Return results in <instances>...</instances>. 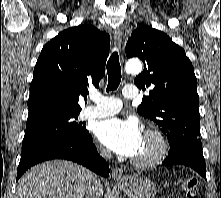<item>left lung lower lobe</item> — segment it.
Here are the masks:
<instances>
[{
  "label": "left lung lower lobe",
  "mask_w": 221,
  "mask_h": 198,
  "mask_svg": "<svg viewBox=\"0 0 221 198\" xmlns=\"http://www.w3.org/2000/svg\"><path fill=\"white\" fill-rule=\"evenodd\" d=\"M162 164L189 166L206 179V165L200 143L185 142L171 146L168 156Z\"/></svg>",
  "instance_id": "left-lung-lower-lobe-1"
}]
</instances>
